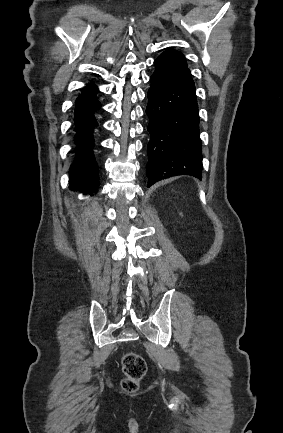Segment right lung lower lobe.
Returning a JSON list of instances; mask_svg holds the SVG:
<instances>
[{"label":"right lung lower lobe","mask_w":283,"mask_h":433,"mask_svg":"<svg viewBox=\"0 0 283 433\" xmlns=\"http://www.w3.org/2000/svg\"><path fill=\"white\" fill-rule=\"evenodd\" d=\"M97 88L89 84L76 100L75 130L76 158L70 168V188L83 193H95L98 188V166L92 153V131L97 122L94 112L100 108L95 93Z\"/></svg>","instance_id":"1"}]
</instances>
